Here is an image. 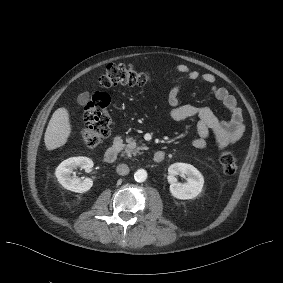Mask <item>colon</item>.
<instances>
[{
  "label": "colon",
  "mask_w": 283,
  "mask_h": 283,
  "mask_svg": "<svg viewBox=\"0 0 283 283\" xmlns=\"http://www.w3.org/2000/svg\"><path fill=\"white\" fill-rule=\"evenodd\" d=\"M150 82L148 74L126 64L108 65L98 79L99 87L104 89L118 85L146 86ZM109 103L110 99L106 93L97 92L84 106L85 127L82 130V139L90 149L96 148L110 132ZM219 162L226 175H233L238 169V159L229 151L220 154Z\"/></svg>",
  "instance_id": "colon-1"
}]
</instances>
